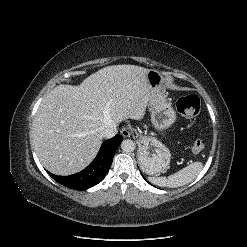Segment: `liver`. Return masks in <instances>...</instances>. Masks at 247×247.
<instances>
[{"mask_svg": "<svg viewBox=\"0 0 247 247\" xmlns=\"http://www.w3.org/2000/svg\"><path fill=\"white\" fill-rule=\"evenodd\" d=\"M148 71L135 65H112L78 86L52 89L38 108L32 130L42 165L56 175L79 172L96 156L110 124L142 119L152 101Z\"/></svg>", "mask_w": 247, "mask_h": 247, "instance_id": "liver-1", "label": "liver"}]
</instances>
